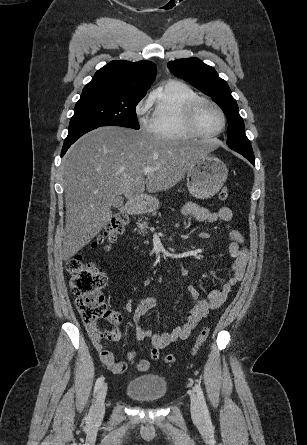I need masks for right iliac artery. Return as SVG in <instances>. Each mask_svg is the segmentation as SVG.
<instances>
[{"label":"right iliac artery","mask_w":307,"mask_h":445,"mask_svg":"<svg viewBox=\"0 0 307 445\" xmlns=\"http://www.w3.org/2000/svg\"><path fill=\"white\" fill-rule=\"evenodd\" d=\"M102 383H103V378H102V377H100V378H98V379L96 380L95 387H94V395L98 392V390H99V388L101 387ZM92 416H93V405H92V407L90 408V411H89V414H88V416H87V419H88V420H91V419H92Z\"/></svg>","instance_id":"82829eb1"}]
</instances>
